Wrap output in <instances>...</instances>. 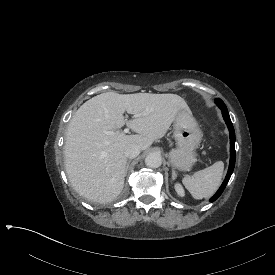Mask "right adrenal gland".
<instances>
[{"label":"right adrenal gland","mask_w":275,"mask_h":275,"mask_svg":"<svg viewBox=\"0 0 275 275\" xmlns=\"http://www.w3.org/2000/svg\"><path fill=\"white\" fill-rule=\"evenodd\" d=\"M131 159H129L127 162H126V167H125V175L127 174V171H128V167H129V164L131 163Z\"/></svg>","instance_id":"1"}]
</instances>
